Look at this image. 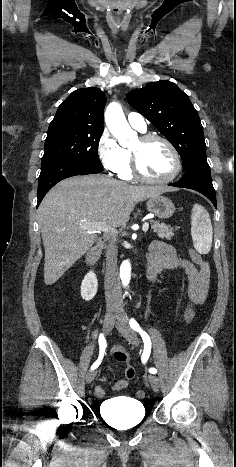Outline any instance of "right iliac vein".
Masks as SVG:
<instances>
[{"label": "right iliac vein", "mask_w": 236, "mask_h": 467, "mask_svg": "<svg viewBox=\"0 0 236 467\" xmlns=\"http://www.w3.org/2000/svg\"><path fill=\"white\" fill-rule=\"evenodd\" d=\"M117 313L116 312H108L105 315L104 321H103V330L105 333H109L114 325V322L116 320ZM96 376V371L95 370H90L86 374V382L89 384L91 383Z\"/></svg>", "instance_id": "63e3f726"}]
</instances>
